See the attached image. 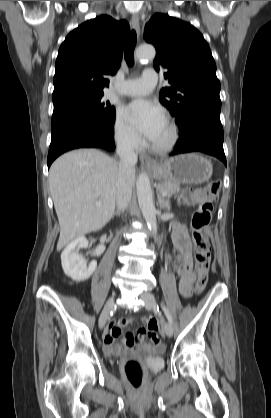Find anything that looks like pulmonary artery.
I'll use <instances>...</instances> for the list:
<instances>
[{"instance_id": "obj_1", "label": "pulmonary artery", "mask_w": 271, "mask_h": 418, "mask_svg": "<svg viewBox=\"0 0 271 418\" xmlns=\"http://www.w3.org/2000/svg\"><path fill=\"white\" fill-rule=\"evenodd\" d=\"M157 81V72L153 69H146L141 77L123 82L116 91L125 96H143L153 89Z\"/></svg>"}]
</instances>
